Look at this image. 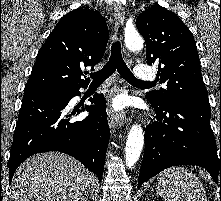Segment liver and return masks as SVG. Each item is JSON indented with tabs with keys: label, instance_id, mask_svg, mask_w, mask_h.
I'll return each instance as SVG.
<instances>
[{
	"label": "liver",
	"instance_id": "obj_1",
	"mask_svg": "<svg viewBox=\"0 0 221 201\" xmlns=\"http://www.w3.org/2000/svg\"><path fill=\"white\" fill-rule=\"evenodd\" d=\"M12 184L15 201H70L88 190L90 173L71 156L40 153L18 167Z\"/></svg>",
	"mask_w": 221,
	"mask_h": 201
}]
</instances>
